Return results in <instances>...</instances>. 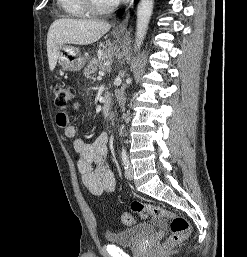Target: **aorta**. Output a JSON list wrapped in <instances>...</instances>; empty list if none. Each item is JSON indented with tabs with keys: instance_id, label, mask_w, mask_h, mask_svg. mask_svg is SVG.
<instances>
[{
	"instance_id": "1",
	"label": "aorta",
	"mask_w": 247,
	"mask_h": 257,
	"mask_svg": "<svg viewBox=\"0 0 247 257\" xmlns=\"http://www.w3.org/2000/svg\"><path fill=\"white\" fill-rule=\"evenodd\" d=\"M154 0H140L137 7L136 33L134 50L138 51L143 44L153 12Z\"/></svg>"
}]
</instances>
